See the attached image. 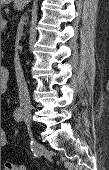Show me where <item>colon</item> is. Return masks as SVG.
<instances>
[{
  "mask_svg": "<svg viewBox=\"0 0 109 170\" xmlns=\"http://www.w3.org/2000/svg\"><path fill=\"white\" fill-rule=\"evenodd\" d=\"M4 170H29L27 167L22 165H15L11 163H6L4 166Z\"/></svg>",
  "mask_w": 109,
  "mask_h": 170,
  "instance_id": "1",
  "label": "colon"
}]
</instances>
